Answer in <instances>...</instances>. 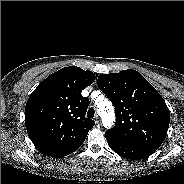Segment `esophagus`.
Wrapping results in <instances>:
<instances>
[{"mask_svg": "<svg viewBox=\"0 0 184 184\" xmlns=\"http://www.w3.org/2000/svg\"><path fill=\"white\" fill-rule=\"evenodd\" d=\"M95 123H96L97 125H100V124H101V120H100V118H99L98 115H96V117H95Z\"/></svg>", "mask_w": 184, "mask_h": 184, "instance_id": "obj_1", "label": "esophagus"}]
</instances>
